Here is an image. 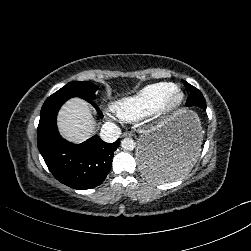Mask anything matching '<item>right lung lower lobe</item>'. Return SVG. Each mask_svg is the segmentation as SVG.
<instances>
[{"mask_svg": "<svg viewBox=\"0 0 251 251\" xmlns=\"http://www.w3.org/2000/svg\"><path fill=\"white\" fill-rule=\"evenodd\" d=\"M66 100L48 98L43 104L37 129L38 149L58 181L74 189H91L99 186L109 173L120 139L106 143L95 135L81 144L63 139L57 130L56 117ZM89 103L102 116L98 106L93 101Z\"/></svg>", "mask_w": 251, "mask_h": 251, "instance_id": "98d812e1", "label": "right lung lower lobe"}]
</instances>
